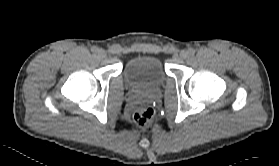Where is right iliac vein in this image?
Returning a JSON list of instances; mask_svg holds the SVG:
<instances>
[{
    "mask_svg": "<svg viewBox=\"0 0 279 166\" xmlns=\"http://www.w3.org/2000/svg\"><path fill=\"white\" fill-rule=\"evenodd\" d=\"M97 55L99 58H105L106 57V52L102 49H98Z\"/></svg>",
    "mask_w": 279,
    "mask_h": 166,
    "instance_id": "63e3f726",
    "label": "right iliac vein"
}]
</instances>
